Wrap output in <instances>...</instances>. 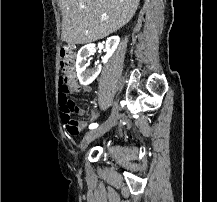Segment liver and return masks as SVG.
I'll return each instance as SVG.
<instances>
[{"instance_id": "liver-1", "label": "liver", "mask_w": 217, "mask_h": 202, "mask_svg": "<svg viewBox=\"0 0 217 202\" xmlns=\"http://www.w3.org/2000/svg\"><path fill=\"white\" fill-rule=\"evenodd\" d=\"M140 0H59L61 40L89 44L123 28L133 18ZM106 16L107 20H101Z\"/></svg>"}]
</instances>
